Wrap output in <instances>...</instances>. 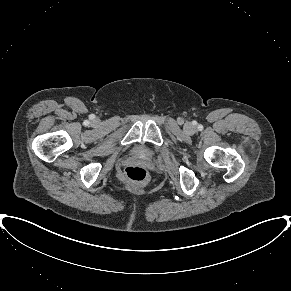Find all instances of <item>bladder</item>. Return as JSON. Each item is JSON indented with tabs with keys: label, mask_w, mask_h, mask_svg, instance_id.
<instances>
[{
	"label": "bladder",
	"mask_w": 291,
	"mask_h": 291,
	"mask_svg": "<svg viewBox=\"0 0 291 291\" xmlns=\"http://www.w3.org/2000/svg\"><path fill=\"white\" fill-rule=\"evenodd\" d=\"M136 152L144 156H150L152 154V152L146 147H138Z\"/></svg>",
	"instance_id": "1"
}]
</instances>
